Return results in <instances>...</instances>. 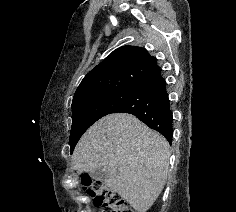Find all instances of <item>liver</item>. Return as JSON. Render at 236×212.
<instances>
[{
	"mask_svg": "<svg viewBox=\"0 0 236 212\" xmlns=\"http://www.w3.org/2000/svg\"><path fill=\"white\" fill-rule=\"evenodd\" d=\"M170 146L158 132L126 113L107 115L77 143L72 163L80 172L103 168L105 185L136 212H146L167 180Z\"/></svg>",
	"mask_w": 236,
	"mask_h": 212,
	"instance_id": "6515ba94",
	"label": "liver"
}]
</instances>
